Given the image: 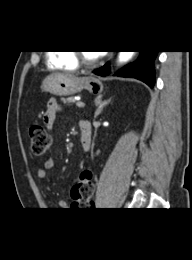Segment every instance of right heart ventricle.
<instances>
[{
	"label": "right heart ventricle",
	"instance_id": "obj_1",
	"mask_svg": "<svg viewBox=\"0 0 192 260\" xmlns=\"http://www.w3.org/2000/svg\"><path fill=\"white\" fill-rule=\"evenodd\" d=\"M48 65L59 70L73 71L79 67V63L72 51H59L48 55Z\"/></svg>",
	"mask_w": 192,
	"mask_h": 260
}]
</instances>
